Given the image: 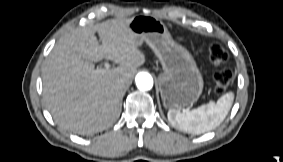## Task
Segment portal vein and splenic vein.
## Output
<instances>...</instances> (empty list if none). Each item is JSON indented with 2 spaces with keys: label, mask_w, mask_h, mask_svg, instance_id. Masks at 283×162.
Here are the masks:
<instances>
[{
  "label": "portal vein and splenic vein",
  "mask_w": 283,
  "mask_h": 162,
  "mask_svg": "<svg viewBox=\"0 0 283 162\" xmlns=\"http://www.w3.org/2000/svg\"><path fill=\"white\" fill-rule=\"evenodd\" d=\"M110 69V64L109 63H105L104 64V68L102 69H96L95 72L96 73H105L107 70Z\"/></svg>",
  "instance_id": "portal-vein-and-splenic-vein-1"
}]
</instances>
